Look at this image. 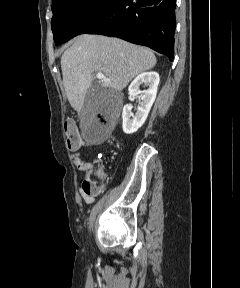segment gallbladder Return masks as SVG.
<instances>
[{
    "instance_id": "gallbladder-1",
    "label": "gallbladder",
    "mask_w": 240,
    "mask_h": 288,
    "mask_svg": "<svg viewBox=\"0 0 240 288\" xmlns=\"http://www.w3.org/2000/svg\"><path fill=\"white\" fill-rule=\"evenodd\" d=\"M112 113L113 105L106 89L95 86L92 90L88 91L84 107L80 113V117L84 123L94 118L97 114L109 118Z\"/></svg>"
}]
</instances>
